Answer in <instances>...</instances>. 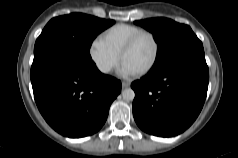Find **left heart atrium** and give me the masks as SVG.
<instances>
[{
    "mask_svg": "<svg viewBox=\"0 0 238 158\" xmlns=\"http://www.w3.org/2000/svg\"><path fill=\"white\" fill-rule=\"evenodd\" d=\"M121 72L124 74V75H133V74H136L137 71H135L134 69H132L131 67H129L127 64H125L124 62L122 63V66H121Z\"/></svg>",
    "mask_w": 238,
    "mask_h": 158,
    "instance_id": "39dd6f15",
    "label": "left heart atrium"
}]
</instances>
